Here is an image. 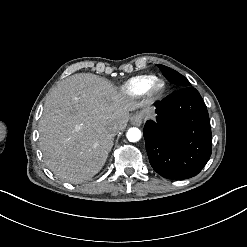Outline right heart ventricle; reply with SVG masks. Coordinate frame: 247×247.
<instances>
[{
  "label": "right heart ventricle",
  "mask_w": 247,
  "mask_h": 247,
  "mask_svg": "<svg viewBox=\"0 0 247 247\" xmlns=\"http://www.w3.org/2000/svg\"><path fill=\"white\" fill-rule=\"evenodd\" d=\"M156 78L155 75L133 77L120 87V92L123 96L128 98H141L145 93L146 86Z\"/></svg>",
  "instance_id": "e07e8e85"
}]
</instances>
